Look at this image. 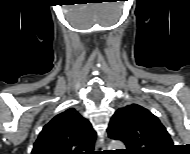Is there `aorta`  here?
<instances>
[{
  "label": "aorta",
  "instance_id": "aorta-1",
  "mask_svg": "<svg viewBox=\"0 0 190 154\" xmlns=\"http://www.w3.org/2000/svg\"><path fill=\"white\" fill-rule=\"evenodd\" d=\"M124 147V144L118 140H113L109 144V150L124 149Z\"/></svg>",
  "mask_w": 190,
  "mask_h": 154
}]
</instances>
